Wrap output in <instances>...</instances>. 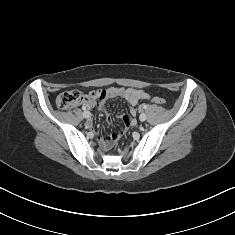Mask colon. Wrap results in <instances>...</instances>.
Returning a JSON list of instances; mask_svg holds the SVG:
<instances>
[{"label": "colon", "instance_id": "obj_1", "mask_svg": "<svg viewBox=\"0 0 235 235\" xmlns=\"http://www.w3.org/2000/svg\"><path fill=\"white\" fill-rule=\"evenodd\" d=\"M84 99V94L78 90H70L60 93L56 98V104L60 109H69L79 104ZM152 101L158 105H164L166 102L162 97L154 96ZM125 127H129L131 120L127 115L122 117ZM119 138L116 133L105 136L104 146L110 148Z\"/></svg>", "mask_w": 235, "mask_h": 235}]
</instances>
